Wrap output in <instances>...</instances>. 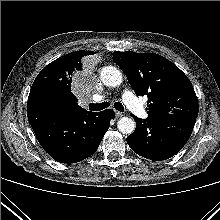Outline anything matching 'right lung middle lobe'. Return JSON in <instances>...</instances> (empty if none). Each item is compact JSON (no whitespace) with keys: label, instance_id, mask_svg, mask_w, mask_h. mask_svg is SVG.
I'll return each instance as SVG.
<instances>
[{"label":"right lung middle lobe","instance_id":"right-lung-middle-lobe-1","mask_svg":"<svg viewBox=\"0 0 220 220\" xmlns=\"http://www.w3.org/2000/svg\"><path fill=\"white\" fill-rule=\"evenodd\" d=\"M40 105H47V106H51V107L60 108L59 101L56 98H54L52 96H48V95H43L40 98Z\"/></svg>","mask_w":220,"mask_h":220}]
</instances>
